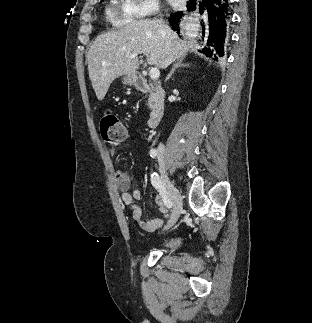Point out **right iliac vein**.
Segmentation results:
<instances>
[{"label": "right iliac vein", "instance_id": "obj_1", "mask_svg": "<svg viewBox=\"0 0 312 323\" xmlns=\"http://www.w3.org/2000/svg\"><path fill=\"white\" fill-rule=\"evenodd\" d=\"M161 173L163 176L166 192H167L169 198L173 202L174 208H173L172 216L169 221V226H172L177 222V220L182 212V197H181L179 191L176 189V187L172 184V182L168 176L167 170L165 168V165H163L161 167Z\"/></svg>", "mask_w": 312, "mask_h": 323}]
</instances>
